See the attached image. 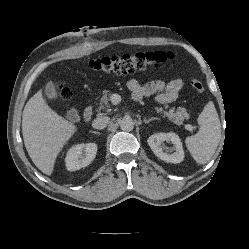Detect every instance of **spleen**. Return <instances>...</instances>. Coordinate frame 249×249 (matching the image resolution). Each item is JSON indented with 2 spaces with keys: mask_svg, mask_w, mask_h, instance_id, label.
Instances as JSON below:
<instances>
[{
  "mask_svg": "<svg viewBox=\"0 0 249 249\" xmlns=\"http://www.w3.org/2000/svg\"><path fill=\"white\" fill-rule=\"evenodd\" d=\"M198 124V133L187 137L185 143L194 160L205 164L215 153L221 138V124L212 101L208 102L199 115Z\"/></svg>",
  "mask_w": 249,
  "mask_h": 249,
  "instance_id": "1",
  "label": "spleen"
}]
</instances>
